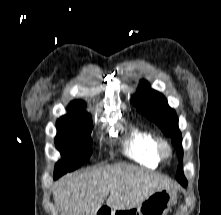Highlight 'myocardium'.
I'll return each instance as SVG.
<instances>
[{
    "label": "myocardium",
    "instance_id": "1",
    "mask_svg": "<svg viewBox=\"0 0 221 215\" xmlns=\"http://www.w3.org/2000/svg\"><path fill=\"white\" fill-rule=\"evenodd\" d=\"M156 155L160 159H168L172 155V147L170 143L165 139H158L155 142Z\"/></svg>",
    "mask_w": 221,
    "mask_h": 215
}]
</instances>
